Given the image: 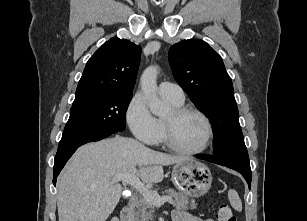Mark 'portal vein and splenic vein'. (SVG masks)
<instances>
[{"mask_svg": "<svg viewBox=\"0 0 307 221\" xmlns=\"http://www.w3.org/2000/svg\"><path fill=\"white\" fill-rule=\"evenodd\" d=\"M113 181H123L130 184L140 192V194L143 196V198H145L147 202H149L153 206L160 207L165 202L173 204V199L171 197L159 196L157 193L149 190L135 175V173L119 174L113 179Z\"/></svg>", "mask_w": 307, "mask_h": 221, "instance_id": "18ae733b", "label": "portal vein and splenic vein"}]
</instances>
